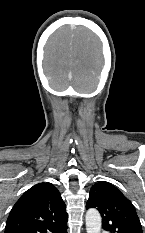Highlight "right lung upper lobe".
<instances>
[{
    "label": "right lung upper lobe",
    "instance_id": "1",
    "mask_svg": "<svg viewBox=\"0 0 145 233\" xmlns=\"http://www.w3.org/2000/svg\"><path fill=\"white\" fill-rule=\"evenodd\" d=\"M66 206L57 188L42 182L27 190L13 206L5 233H60L67 225Z\"/></svg>",
    "mask_w": 145,
    "mask_h": 233
}]
</instances>
